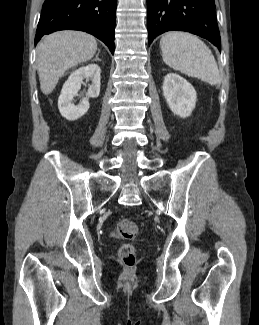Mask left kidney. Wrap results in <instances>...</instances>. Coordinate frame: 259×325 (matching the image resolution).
Masks as SVG:
<instances>
[{"mask_svg":"<svg viewBox=\"0 0 259 325\" xmlns=\"http://www.w3.org/2000/svg\"><path fill=\"white\" fill-rule=\"evenodd\" d=\"M163 95L170 110L182 118L190 116L196 103V92L184 78L169 73L163 82Z\"/></svg>","mask_w":259,"mask_h":325,"instance_id":"1","label":"left kidney"}]
</instances>
